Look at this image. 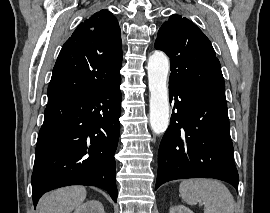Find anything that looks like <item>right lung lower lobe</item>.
<instances>
[{
    "label": "right lung lower lobe",
    "instance_id": "right-lung-lower-lobe-1",
    "mask_svg": "<svg viewBox=\"0 0 270 213\" xmlns=\"http://www.w3.org/2000/svg\"><path fill=\"white\" fill-rule=\"evenodd\" d=\"M120 84L47 104L31 180L34 207L45 192L68 185L97 186L117 201Z\"/></svg>",
    "mask_w": 270,
    "mask_h": 213
}]
</instances>
